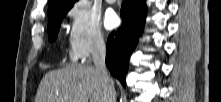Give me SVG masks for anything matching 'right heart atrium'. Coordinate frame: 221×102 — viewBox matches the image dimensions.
Instances as JSON below:
<instances>
[{
    "instance_id": "1",
    "label": "right heart atrium",
    "mask_w": 221,
    "mask_h": 102,
    "mask_svg": "<svg viewBox=\"0 0 221 102\" xmlns=\"http://www.w3.org/2000/svg\"><path fill=\"white\" fill-rule=\"evenodd\" d=\"M69 40L73 55L86 59L104 45V35L98 17L85 6L77 4L69 13Z\"/></svg>"
}]
</instances>
